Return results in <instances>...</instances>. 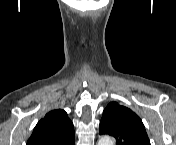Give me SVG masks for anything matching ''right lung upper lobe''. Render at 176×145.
<instances>
[{
    "mask_svg": "<svg viewBox=\"0 0 176 145\" xmlns=\"http://www.w3.org/2000/svg\"><path fill=\"white\" fill-rule=\"evenodd\" d=\"M73 123L64 110L50 111L35 126L27 145H74Z\"/></svg>",
    "mask_w": 176,
    "mask_h": 145,
    "instance_id": "right-lung-upper-lobe-1",
    "label": "right lung upper lobe"
}]
</instances>
